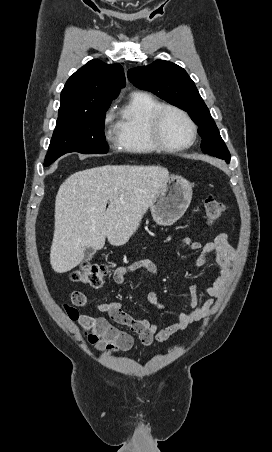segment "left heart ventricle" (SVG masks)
Here are the masks:
<instances>
[{"mask_svg":"<svg viewBox=\"0 0 272 452\" xmlns=\"http://www.w3.org/2000/svg\"><path fill=\"white\" fill-rule=\"evenodd\" d=\"M162 135L171 145H179L190 138V128L186 120L177 112L167 111L161 122Z\"/></svg>","mask_w":272,"mask_h":452,"instance_id":"1","label":"left heart ventricle"}]
</instances>
